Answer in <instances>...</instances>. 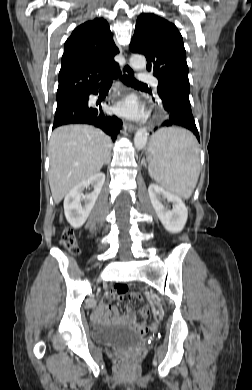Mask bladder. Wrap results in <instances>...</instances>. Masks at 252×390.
I'll return each mask as SVG.
<instances>
[{
  "instance_id": "bladder-1",
  "label": "bladder",
  "mask_w": 252,
  "mask_h": 390,
  "mask_svg": "<svg viewBox=\"0 0 252 390\" xmlns=\"http://www.w3.org/2000/svg\"><path fill=\"white\" fill-rule=\"evenodd\" d=\"M93 339L101 344L123 346H133L142 341V338L131 330L115 324H96Z\"/></svg>"
}]
</instances>
